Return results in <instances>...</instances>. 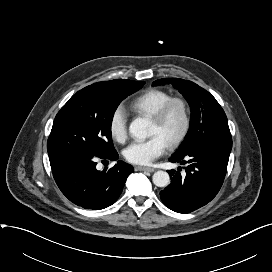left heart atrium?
Segmentation results:
<instances>
[{"label":"left heart atrium","instance_id":"1","mask_svg":"<svg viewBox=\"0 0 272 272\" xmlns=\"http://www.w3.org/2000/svg\"><path fill=\"white\" fill-rule=\"evenodd\" d=\"M168 144L158 134L152 135L144 141H136L124 150L125 159L137 165H147L161 156Z\"/></svg>","mask_w":272,"mask_h":272}]
</instances>
